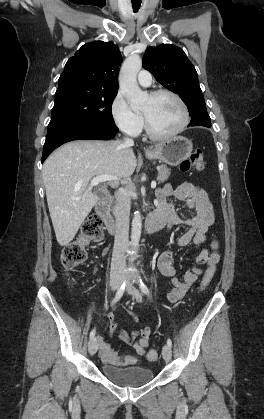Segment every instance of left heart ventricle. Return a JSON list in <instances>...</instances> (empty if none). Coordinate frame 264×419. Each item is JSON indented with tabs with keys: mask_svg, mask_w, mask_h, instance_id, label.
I'll return each mask as SVG.
<instances>
[{
	"mask_svg": "<svg viewBox=\"0 0 264 419\" xmlns=\"http://www.w3.org/2000/svg\"><path fill=\"white\" fill-rule=\"evenodd\" d=\"M142 113L147 116L153 130L159 134L174 131L182 121V111L179 104L168 95L157 98L149 97Z\"/></svg>",
	"mask_w": 264,
	"mask_h": 419,
	"instance_id": "b2bd125f",
	"label": "left heart ventricle"
}]
</instances>
